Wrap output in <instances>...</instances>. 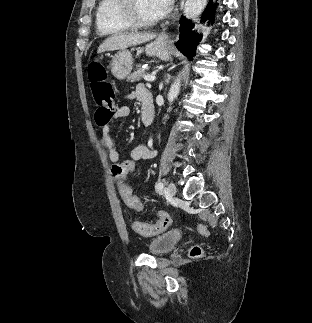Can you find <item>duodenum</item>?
<instances>
[{"instance_id": "1", "label": "duodenum", "mask_w": 312, "mask_h": 323, "mask_svg": "<svg viewBox=\"0 0 312 323\" xmlns=\"http://www.w3.org/2000/svg\"><path fill=\"white\" fill-rule=\"evenodd\" d=\"M155 109L151 94L147 91L142 98L140 120L143 126L150 124L154 118Z\"/></svg>"}]
</instances>
